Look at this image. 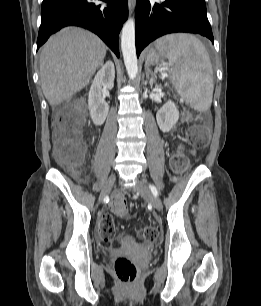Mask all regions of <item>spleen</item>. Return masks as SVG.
<instances>
[{
	"mask_svg": "<svg viewBox=\"0 0 261 306\" xmlns=\"http://www.w3.org/2000/svg\"><path fill=\"white\" fill-rule=\"evenodd\" d=\"M155 44L165 51L172 85L178 94L194 109L209 110L214 90L213 69L203 43L193 35L176 33L157 39Z\"/></svg>",
	"mask_w": 261,
	"mask_h": 306,
	"instance_id": "1",
	"label": "spleen"
}]
</instances>
